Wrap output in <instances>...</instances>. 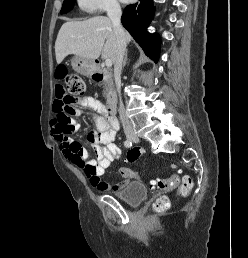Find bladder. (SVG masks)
Wrapping results in <instances>:
<instances>
[{
	"instance_id": "bladder-1",
	"label": "bladder",
	"mask_w": 248,
	"mask_h": 258,
	"mask_svg": "<svg viewBox=\"0 0 248 258\" xmlns=\"http://www.w3.org/2000/svg\"><path fill=\"white\" fill-rule=\"evenodd\" d=\"M116 196L130 206H137L147 198L148 190L143 183L132 182L119 190Z\"/></svg>"
}]
</instances>
